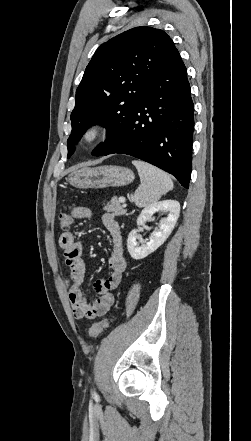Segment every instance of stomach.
Returning <instances> with one entry per match:
<instances>
[{
	"mask_svg": "<svg viewBox=\"0 0 251 441\" xmlns=\"http://www.w3.org/2000/svg\"><path fill=\"white\" fill-rule=\"evenodd\" d=\"M134 180V173L116 165L83 167L68 176V182L79 189H100L106 187L125 186Z\"/></svg>",
	"mask_w": 251,
	"mask_h": 441,
	"instance_id": "1",
	"label": "stomach"
}]
</instances>
